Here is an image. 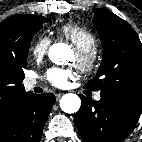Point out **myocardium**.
Here are the masks:
<instances>
[{
  "label": "myocardium",
  "instance_id": "myocardium-1",
  "mask_svg": "<svg viewBox=\"0 0 142 142\" xmlns=\"http://www.w3.org/2000/svg\"><path fill=\"white\" fill-rule=\"evenodd\" d=\"M75 63L83 74H91L100 64V56L95 49L89 51L76 50Z\"/></svg>",
  "mask_w": 142,
  "mask_h": 142
}]
</instances>
